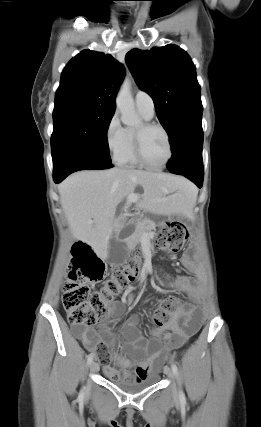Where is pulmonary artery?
<instances>
[{
	"instance_id": "e3ab8cb5",
	"label": "pulmonary artery",
	"mask_w": 261,
	"mask_h": 427,
	"mask_svg": "<svg viewBox=\"0 0 261 427\" xmlns=\"http://www.w3.org/2000/svg\"><path fill=\"white\" fill-rule=\"evenodd\" d=\"M135 105L146 118L153 117L155 112L154 101L148 93L139 90L135 95Z\"/></svg>"
}]
</instances>
